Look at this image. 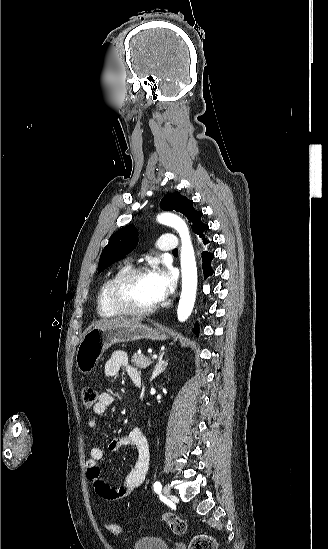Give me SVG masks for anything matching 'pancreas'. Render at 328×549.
<instances>
[{"mask_svg":"<svg viewBox=\"0 0 328 549\" xmlns=\"http://www.w3.org/2000/svg\"><path fill=\"white\" fill-rule=\"evenodd\" d=\"M131 363L134 367H137V369H146V367L151 365L152 361L149 357H143V355H139V353H134Z\"/></svg>","mask_w":328,"mask_h":549,"instance_id":"pancreas-1","label":"pancreas"}]
</instances>
